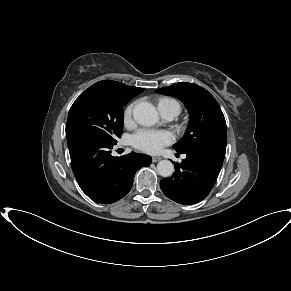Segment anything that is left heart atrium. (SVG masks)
Masks as SVG:
<instances>
[{
  "label": "left heart atrium",
  "mask_w": 291,
  "mask_h": 291,
  "mask_svg": "<svg viewBox=\"0 0 291 291\" xmlns=\"http://www.w3.org/2000/svg\"><path fill=\"white\" fill-rule=\"evenodd\" d=\"M173 140V135L168 131L141 129L133 135L132 144L139 150L154 154L160 152Z\"/></svg>",
  "instance_id": "obj_1"
}]
</instances>
